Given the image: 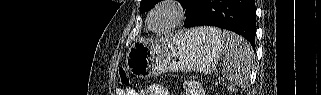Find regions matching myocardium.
I'll return each instance as SVG.
<instances>
[{
	"mask_svg": "<svg viewBox=\"0 0 321 95\" xmlns=\"http://www.w3.org/2000/svg\"><path fill=\"white\" fill-rule=\"evenodd\" d=\"M168 11L169 22L162 28H156L153 25L155 18L162 12ZM186 12L181 3L177 0L159 1L147 14L146 27L155 34H166L174 31L185 20Z\"/></svg>",
	"mask_w": 321,
	"mask_h": 95,
	"instance_id": "f54148a6",
	"label": "myocardium"
}]
</instances>
